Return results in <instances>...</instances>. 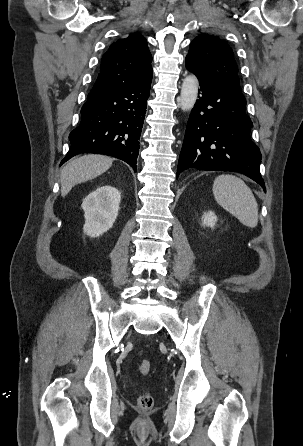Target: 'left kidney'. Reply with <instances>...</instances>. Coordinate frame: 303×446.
Listing matches in <instances>:
<instances>
[{
	"label": "left kidney",
	"instance_id": "1",
	"mask_svg": "<svg viewBox=\"0 0 303 446\" xmlns=\"http://www.w3.org/2000/svg\"><path fill=\"white\" fill-rule=\"evenodd\" d=\"M202 222L204 226L214 228L216 222H217V216L214 212L208 211L203 214Z\"/></svg>",
	"mask_w": 303,
	"mask_h": 446
}]
</instances>
